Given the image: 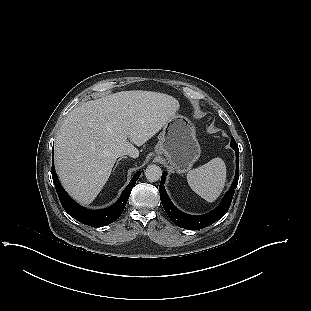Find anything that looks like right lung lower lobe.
Returning <instances> with one entry per match:
<instances>
[{
  "instance_id": "right-lung-lower-lobe-1",
  "label": "right lung lower lobe",
  "mask_w": 311,
  "mask_h": 311,
  "mask_svg": "<svg viewBox=\"0 0 311 311\" xmlns=\"http://www.w3.org/2000/svg\"><path fill=\"white\" fill-rule=\"evenodd\" d=\"M140 174V171L135 173L128 186L123 190L120 198L112 206L106 209L91 211L81 207L68 196L59 183L54 168V162L52 161V178L63 208L71 217L89 226H105L115 222L120 217L130 196L131 190Z\"/></svg>"
}]
</instances>
